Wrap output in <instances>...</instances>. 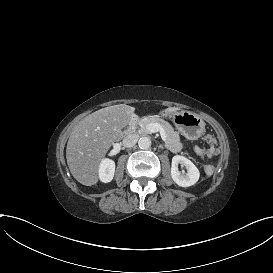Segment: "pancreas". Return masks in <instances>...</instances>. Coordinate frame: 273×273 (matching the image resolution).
Here are the masks:
<instances>
[{"label":"pancreas","mask_w":273,"mask_h":273,"mask_svg":"<svg viewBox=\"0 0 273 273\" xmlns=\"http://www.w3.org/2000/svg\"><path fill=\"white\" fill-rule=\"evenodd\" d=\"M151 123H158L165 131L166 140L165 147L173 153L180 152L183 148L182 143L180 142L179 133L174 131L173 127L165 120L160 119L156 116H147L138 121L140 134H148L150 131L147 126Z\"/></svg>","instance_id":"pancreas-1"}]
</instances>
